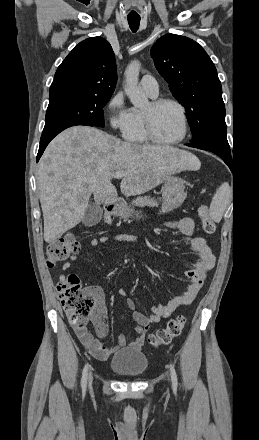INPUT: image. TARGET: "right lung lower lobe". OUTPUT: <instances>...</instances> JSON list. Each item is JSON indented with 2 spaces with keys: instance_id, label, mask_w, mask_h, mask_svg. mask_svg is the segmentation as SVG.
<instances>
[{
  "instance_id": "98d812e1",
  "label": "right lung lower lobe",
  "mask_w": 259,
  "mask_h": 440,
  "mask_svg": "<svg viewBox=\"0 0 259 440\" xmlns=\"http://www.w3.org/2000/svg\"><path fill=\"white\" fill-rule=\"evenodd\" d=\"M76 125L91 126V125H87V124H83V123H78V122H69V123H65V124L56 126L54 128L48 129V130H43L42 135H41V139H40L39 151H38V154H37V162L39 161L41 155L43 154V152H44L45 148L47 147V145L49 144V142L57 134H59L61 131H63L66 128H69L71 126H76Z\"/></svg>"
}]
</instances>
